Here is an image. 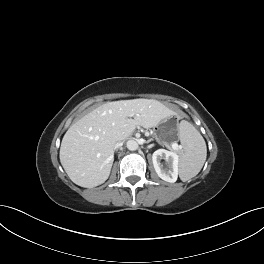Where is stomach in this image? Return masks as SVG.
I'll return each instance as SVG.
<instances>
[{"instance_id": "1", "label": "stomach", "mask_w": 264, "mask_h": 264, "mask_svg": "<svg viewBox=\"0 0 264 264\" xmlns=\"http://www.w3.org/2000/svg\"><path fill=\"white\" fill-rule=\"evenodd\" d=\"M179 117L172 115L167 117L160 125L155 128V139L164 145H169L178 139Z\"/></svg>"}]
</instances>
